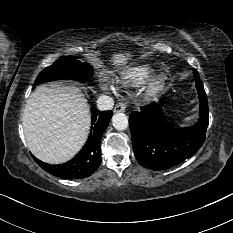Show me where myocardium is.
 I'll list each match as a JSON object with an SVG mask.
<instances>
[{
    "label": "myocardium",
    "mask_w": 233,
    "mask_h": 233,
    "mask_svg": "<svg viewBox=\"0 0 233 233\" xmlns=\"http://www.w3.org/2000/svg\"><path fill=\"white\" fill-rule=\"evenodd\" d=\"M164 79L163 78H158L156 80H154L148 88V94L149 95H155L159 89L161 88L162 84H163Z\"/></svg>",
    "instance_id": "1"
}]
</instances>
